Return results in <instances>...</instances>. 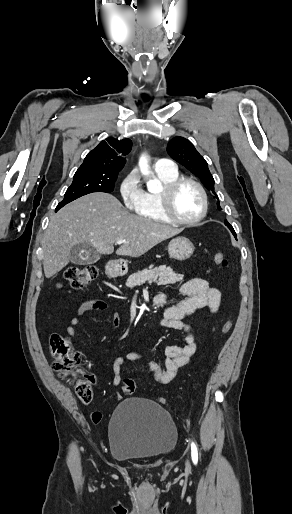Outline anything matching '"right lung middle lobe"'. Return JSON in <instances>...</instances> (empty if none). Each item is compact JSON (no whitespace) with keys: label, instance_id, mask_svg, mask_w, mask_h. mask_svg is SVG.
Listing matches in <instances>:
<instances>
[{"label":"right lung middle lobe","instance_id":"dd1d6c3e","mask_svg":"<svg viewBox=\"0 0 292 514\" xmlns=\"http://www.w3.org/2000/svg\"><path fill=\"white\" fill-rule=\"evenodd\" d=\"M117 177L74 175L71 186L67 189L64 199L57 205L56 211L67 203L89 193H111Z\"/></svg>","mask_w":292,"mask_h":514}]
</instances>
